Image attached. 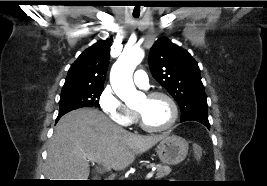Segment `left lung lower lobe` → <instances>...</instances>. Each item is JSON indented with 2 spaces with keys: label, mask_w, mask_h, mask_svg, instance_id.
<instances>
[{
  "label": "left lung lower lobe",
  "mask_w": 267,
  "mask_h": 186,
  "mask_svg": "<svg viewBox=\"0 0 267 186\" xmlns=\"http://www.w3.org/2000/svg\"><path fill=\"white\" fill-rule=\"evenodd\" d=\"M186 121H188V120H186ZM195 121H198V122L204 124L208 129L210 128L209 121H204V120H195ZM181 122H184V121H181Z\"/></svg>",
  "instance_id": "0a47b994"
}]
</instances>
